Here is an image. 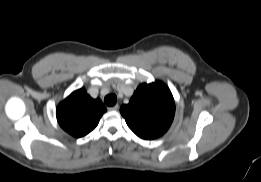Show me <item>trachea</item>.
Segmentation results:
<instances>
[{
  "label": "trachea",
  "mask_w": 261,
  "mask_h": 182,
  "mask_svg": "<svg viewBox=\"0 0 261 182\" xmlns=\"http://www.w3.org/2000/svg\"><path fill=\"white\" fill-rule=\"evenodd\" d=\"M117 102V97L115 94H109L104 98V103L107 106H114Z\"/></svg>",
  "instance_id": "trachea-1"
}]
</instances>
